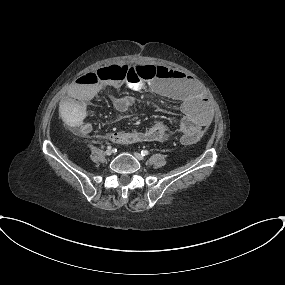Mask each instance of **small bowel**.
Returning <instances> with one entry per match:
<instances>
[{
	"instance_id": "c3829d8e",
	"label": "small bowel",
	"mask_w": 285,
	"mask_h": 285,
	"mask_svg": "<svg viewBox=\"0 0 285 285\" xmlns=\"http://www.w3.org/2000/svg\"><path fill=\"white\" fill-rule=\"evenodd\" d=\"M119 69L113 78L95 83H82L78 80L70 87V93L59 104V112L65 121L75 122L79 119V132L87 136L92 131L90 123L83 122L89 101L99 94L103 87L118 89L127 84L132 90L139 91L146 88L136 75L131 74L130 67L116 65ZM157 95L178 103L183 117L180 120L177 132L164 120H157L151 127L144 130L119 131L104 135L103 138L115 145H129L148 142H163L181 137L194 130L200 134L210 124V110L208 103L198 91L195 81L181 71L169 70L163 78L156 79L148 84ZM116 106H132L134 99L124 95L113 99Z\"/></svg>"
}]
</instances>
